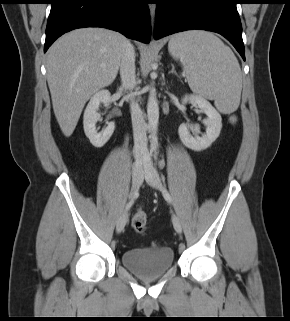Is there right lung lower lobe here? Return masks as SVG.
<instances>
[{"instance_id": "98d812e1", "label": "right lung lower lobe", "mask_w": 290, "mask_h": 321, "mask_svg": "<svg viewBox=\"0 0 290 321\" xmlns=\"http://www.w3.org/2000/svg\"><path fill=\"white\" fill-rule=\"evenodd\" d=\"M148 0H51L44 52L62 34L104 27L144 43L150 41Z\"/></svg>"}]
</instances>
